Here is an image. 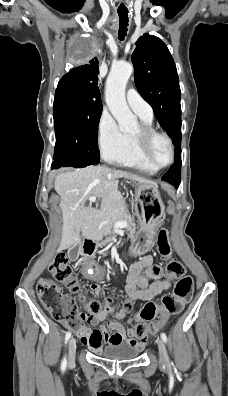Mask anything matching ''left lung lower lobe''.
<instances>
[{
    "label": "left lung lower lobe",
    "instance_id": "obj_1",
    "mask_svg": "<svg viewBox=\"0 0 228 396\" xmlns=\"http://www.w3.org/2000/svg\"><path fill=\"white\" fill-rule=\"evenodd\" d=\"M180 166H181V142L176 144L175 147V164L170 168V170L162 177L163 181H166L176 188L180 184Z\"/></svg>",
    "mask_w": 228,
    "mask_h": 396
}]
</instances>
